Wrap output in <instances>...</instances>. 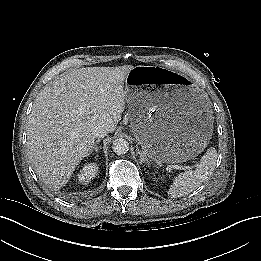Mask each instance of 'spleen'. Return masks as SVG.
Listing matches in <instances>:
<instances>
[{"label":"spleen","mask_w":261,"mask_h":261,"mask_svg":"<svg viewBox=\"0 0 261 261\" xmlns=\"http://www.w3.org/2000/svg\"><path fill=\"white\" fill-rule=\"evenodd\" d=\"M217 156L216 149L209 148L195 170L185 171L174 178L168 196L171 198L186 196L198 188L213 171Z\"/></svg>","instance_id":"3e777b00"}]
</instances>
